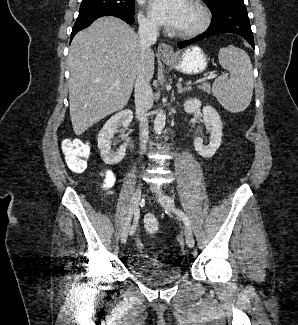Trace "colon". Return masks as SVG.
<instances>
[{
    "mask_svg": "<svg viewBox=\"0 0 298 325\" xmlns=\"http://www.w3.org/2000/svg\"><path fill=\"white\" fill-rule=\"evenodd\" d=\"M90 149L86 145H81L80 151L68 155L67 161L71 171L81 173L87 168V160ZM144 229L149 235H154L159 229V222L156 216L149 214L144 217Z\"/></svg>",
    "mask_w": 298,
    "mask_h": 325,
    "instance_id": "obj_1",
    "label": "colon"
}]
</instances>
